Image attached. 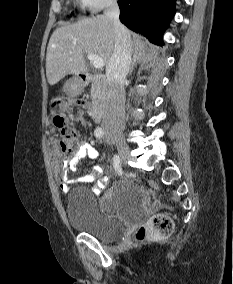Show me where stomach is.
<instances>
[{"label": "stomach", "mask_w": 233, "mask_h": 284, "mask_svg": "<svg viewBox=\"0 0 233 284\" xmlns=\"http://www.w3.org/2000/svg\"><path fill=\"white\" fill-rule=\"evenodd\" d=\"M64 90L68 93L77 94L81 91V86L75 82L69 81L65 84Z\"/></svg>", "instance_id": "1"}]
</instances>
